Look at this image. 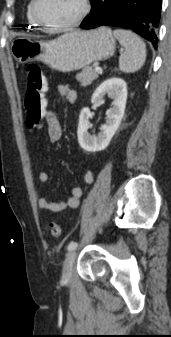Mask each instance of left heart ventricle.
I'll return each instance as SVG.
<instances>
[{
    "instance_id": "b2bd125f",
    "label": "left heart ventricle",
    "mask_w": 171,
    "mask_h": 337,
    "mask_svg": "<svg viewBox=\"0 0 171 337\" xmlns=\"http://www.w3.org/2000/svg\"><path fill=\"white\" fill-rule=\"evenodd\" d=\"M39 14L50 25L73 20L82 9V0H40Z\"/></svg>"
}]
</instances>
